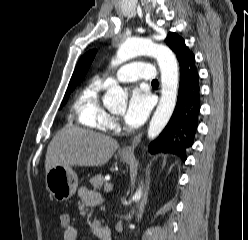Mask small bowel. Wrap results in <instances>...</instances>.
Returning a JSON list of instances; mask_svg holds the SVG:
<instances>
[{"mask_svg":"<svg viewBox=\"0 0 248 240\" xmlns=\"http://www.w3.org/2000/svg\"><path fill=\"white\" fill-rule=\"evenodd\" d=\"M78 196L80 200V209L83 214L89 208L97 206L103 202V198L98 192L89 190L86 187L79 188ZM78 234V229L71 225L63 231L62 240H77Z\"/></svg>","mask_w":248,"mask_h":240,"instance_id":"1","label":"small bowel"}]
</instances>
